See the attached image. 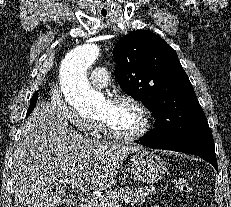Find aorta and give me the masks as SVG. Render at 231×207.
Wrapping results in <instances>:
<instances>
[{
    "instance_id": "1",
    "label": "aorta",
    "mask_w": 231,
    "mask_h": 207,
    "mask_svg": "<svg viewBox=\"0 0 231 207\" xmlns=\"http://www.w3.org/2000/svg\"><path fill=\"white\" fill-rule=\"evenodd\" d=\"M100 54L94 43H85L70 50L60 67L61 90L66 101L80 112L90 113L104 100L99 92L89 84L86 76L88 68Z\"/></svg>"
}]
</instances>
